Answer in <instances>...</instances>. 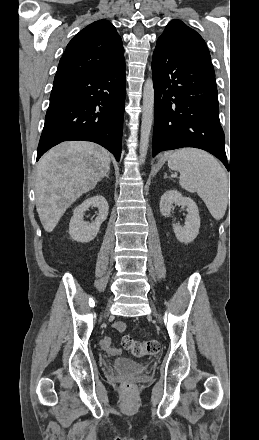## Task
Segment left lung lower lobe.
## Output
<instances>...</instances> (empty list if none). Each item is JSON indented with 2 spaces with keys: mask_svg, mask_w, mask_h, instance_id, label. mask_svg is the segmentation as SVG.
<instances>
[{
  "mask_svg": "<svg viewBox=\"0 0 259 440\" xmlns=\"http://www.w3.org/2000/svg\"><path fill=\"white\" fill-rule=\"evenodd\" d=\"M155 93L153 157L163 150L203 149L229 170L210 58L158 43L153 53Z\"/></svg>",
  "mask_w": 259,
  "mask_h": 440,
  "instance_id": "0a47b994",
  "label": "left lung lower lobe"
}]
</instances>
